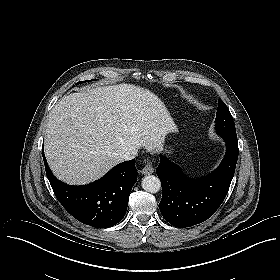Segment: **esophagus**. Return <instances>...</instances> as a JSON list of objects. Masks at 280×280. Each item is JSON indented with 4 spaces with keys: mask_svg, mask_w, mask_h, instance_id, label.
Here are the masks:
<instances>
[{
    "mask_svg": "<svg viewBox=\"0 0 280 280\" xmlns=\"http://www.w3.org/2000/svg\"><path fill=\"white\" fill-rule=\"evenodd\" d=\"M154 172V167L152 166V164L150 162H148L145 167L141 170V173L144 175H149L152 174Z\"/></svg>",
    "mask_w": 280,
    "mask_h": 280,
    "instance_id": "1",
    "label": "esophagus"
}]
</instances>
